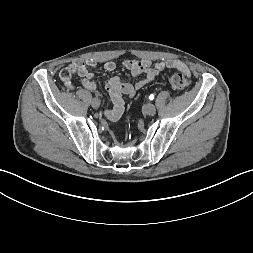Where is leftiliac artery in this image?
<instances>
[{
  "label": "left iliac artery",
  "mask_w": 253,
  "mask_h": 253,
  "mask_svg": "<svg viewBox=\"0 0 253 253\" xmlns=\"http://www.w3.org/2000/svg\"><path fill=\"white\" fill-rule=\"evenodd\" d=\"M149 99H150V100H153V99H154V95L151 94V95L149 96Z\"/></svg>",
  "instance_id": "obj_1"
}]
</instances>
